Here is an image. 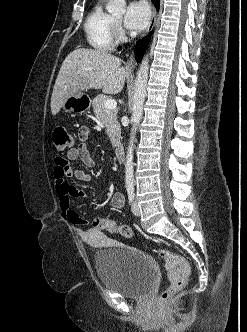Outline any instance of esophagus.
I'll use <instances>...</instances> for the list:
<instances>
[{
    "instance_id": "34e87169",
    "label": "esophagus",
    "mask_w": 247,
    "mask_h": 332,
    "mask_svg": "<svg viewBox=\"0 0 247 332\" xmlns=\"http://www.w3.org/2000/svg\"><path fill=\"white\" fill-rule=\"evenodd\" d=\"M155 22H156V8L152 5V15H151V19H150V23H149V26L144 34V36L146 34L149 33V31H151L155 25ZM135 63V57H134V54H132L127 62V64L129 66H133Z\"/></svg>"
}]
</instances>
